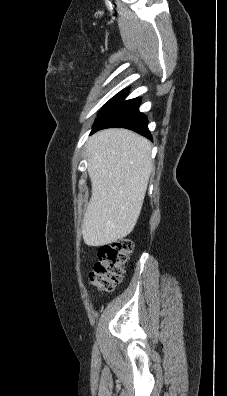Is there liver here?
I'll list each match as a JSON object with an SVG mask.
<instances>
[{
    "label": "liver",
    "mask_w": 227,
    "mask_h": 396,
    "mask_svg": "<svg viewBox=\"0 0 227 396\" xmlns=\"http://www.w3.org/2000/svg\"><path fill=\"white\" fill-rule=\"evenodd\" d=\"M150 152L146 138L126 129H106L89 138L92 195L82 224L86 245L110 244L132 232L153 168Z\"/></svg>",
    "instance_id": "1"
}]
</instances>
